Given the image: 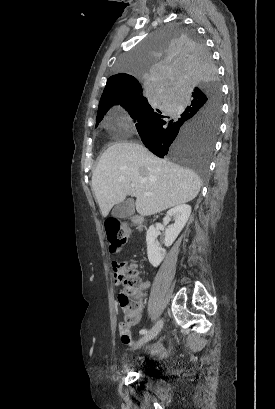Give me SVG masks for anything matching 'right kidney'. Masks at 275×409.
<instances>
[{"label":"right kidney","mask_w":275,"mask_h":409,"mask_svg":"<svg viewBox=\"0 0 275 409\" xmlns=\"http://www.w3.org/2000/svg\"><path fill=\"white\" fill-rule=\"evenodd\" d=\"M190 215V205H177L174 209L167 211V215L163 219V225H168L172 217H174L175 223L174 225H169L168 229H165V247H171L179 233H181L183 227H185ZM158 235L159 229H157L155 225H151L147 231L146 243L149 263H151L153 267H158L166 255L165 249H162V247L158 245V241H156Z\"/></svg>","instance_id":"right-kidney-1"}]
</instances>
